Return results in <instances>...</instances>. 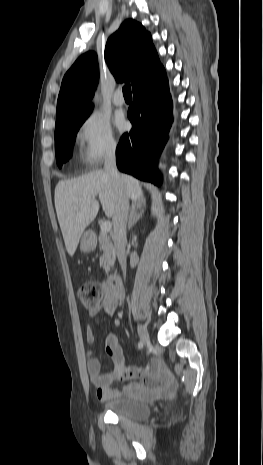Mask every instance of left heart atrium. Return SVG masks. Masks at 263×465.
Returning a JSON list of instances; mask_svg holds the SVG:
<instances>
[{"instance_id":"obj_1","label":"left heart atrium","mask_w":263,"mask_h":465,"mask_svg":"<svg viewBox=\"0 0 263 465\" xmlns=\"http://www.w3.org/2000/svg\"><path fill=\"white\" fill-rule=\"evenodd\" d=\"M116 124L120 130H125L127 127V123L122 117L117 119Z\"/></svg>"}]
</instances>
